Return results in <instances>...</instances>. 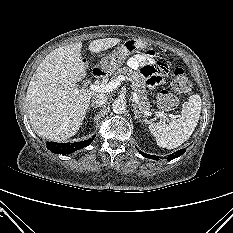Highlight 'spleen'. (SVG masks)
Segmentation results:
<instances>
[{"label":"spleen","mask_w":233,"mask_h":233,"mask_svg":"<svg viewBox=\"0 0 233 233\" xmlns=\"http://www.w3.org/2000/svg\"><path fill=\"white\" fill-rule=\"evenodd\" d=\"M201 105L200 95H191L188 102L183 105L181 115L177 120H173L169 124L152 122L148 128L155 137L157 145L174 149L187 141L197 126Z\"/></svg>","instance_id":"3e777b00"}]
</instances>
